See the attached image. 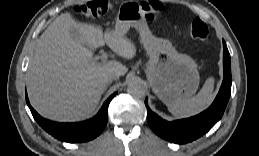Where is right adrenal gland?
<instances>
[{
	"instance_id": "obj_1",
	"label": "right adrenal gland",
	"mask_w": 259,
	"mask_h": 156,
	"mask_svg": "<svg viewBox=\"0 0 259 156\" xmlns=\"http://www.w3.org/2000/svg\"><path fill=\"white\" fill-rule=\"evenodd\" d=\"M110 84H107V86L105 87V90H104V92L107 90V88H108V86H109Z\"/></svg>"
}]
</instances>
